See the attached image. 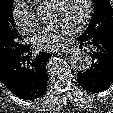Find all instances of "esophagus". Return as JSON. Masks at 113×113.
<instances>
[{"label":"esophagus","instance_id":"obj_1","mask_svg":"<svg viewBox=\"0 0 113 113\" xmlns=\"http://www.w3.org/2000/svg\"><path fill=\"white\" fill-rule=\"evenodd\" d=\"M72 50H73L72 46H67V47H64V48L60 49V51L64 52V53H71Z\"/></svg>","mask_w":113,"mask_h":113}]
</instances>
